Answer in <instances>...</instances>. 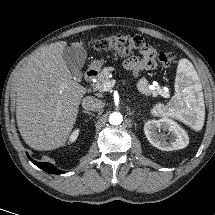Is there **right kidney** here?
<instances>
[{
	"mask_svg": "<svg viewBox=\"0 0 215 215\" xmlns=\"http://www.w3.org/2000/svg\"><path fill=\"white\" fill-rule=\"evenodd\" d=\"M79 129H76L75 131H73V133L70 135V142H74L76 139H77V137H78V135H79Z\"/></svg>",
	"mask_w": 215,
	"mask_h": 215,
	"instance_id": "obj_1",
	"label": "right kidney"
}]
</instances>
